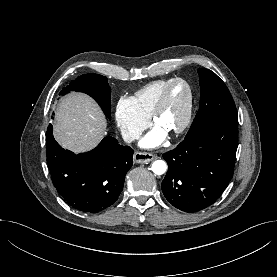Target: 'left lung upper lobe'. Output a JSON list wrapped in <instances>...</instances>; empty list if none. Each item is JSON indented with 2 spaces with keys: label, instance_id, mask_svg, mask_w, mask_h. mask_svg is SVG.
<instances>
[{
  "label": "left lung upper lobe",
  "instance_id": "left-lung-upper-lobe-1",
  "mask_svg": "<svg viewBox=\"0 0 277 277\" xmlns=\"http://www.w3.org/2000/svg\"><path fill=\"white\" fill-rule=\"evenodd\" d=\"M198 74L201 87L200 108L185 138L215 125L237 128V110L224 82L209 69H199Z\"/></svg>",
  "mask_w": 277,
  "mask_h": 277
}]
</instances>
